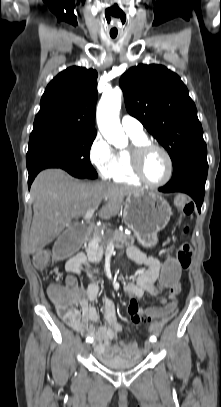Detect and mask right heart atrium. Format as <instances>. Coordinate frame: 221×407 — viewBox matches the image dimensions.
I'll return each mask as SVG.
<instances>
[{"label": "right heart atrium", "mask_w": 221, "mask_h": 407, "mask_svg": "<svg viewBox=\"0 0 221 407\" xmlns=\"http://www.w3.org/2000/svg\"><path fill=\"white\" fill-rule=\"evenodd\" d=\"M89 157L103 179L112 177L116 166V152L100 134L96 135L91 144Z\"/></svg>", "instance_id": "1"}]
</instances>
